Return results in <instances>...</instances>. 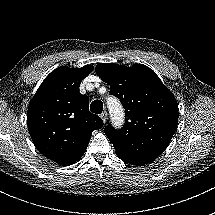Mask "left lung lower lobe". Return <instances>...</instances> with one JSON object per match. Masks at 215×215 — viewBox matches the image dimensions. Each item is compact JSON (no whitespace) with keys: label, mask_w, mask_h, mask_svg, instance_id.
Returning a JSON list of instances; mask_svg holds the SVG:
<instances>
[{"label":"left lung lower lobe","mask_w":215,"mask_h":215,"mask_svg":"<svg viewBox=\"0 0 215 215\" xmlns=\"http://www.w3.org/2000/svg\"><path fill=\"white\" fill-rule=\"evenodd\" d=\"M118 158H120L122 161L126 162V163H129L131 165H136V166H141V165H144V164H147L151 161H153L154 159L152 158H134V157H127V156H124V155H121L119 153H116Z\"/></svg>","instance_id":"1"}]
</instances>
